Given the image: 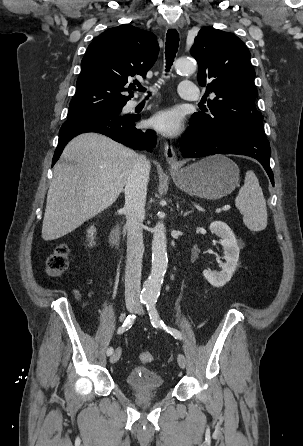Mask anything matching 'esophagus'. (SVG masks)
Returning a JSON list of instances; mask_svg holds the SVG:
<instances>
[{
  "label": "esophagus",
  "instance_id": "34e87169",
  "mask_svg": "<svg viewBox=\"0 0 303 446\" xmlns=\"http://www.w3.org/2000/svg\"><path fill=\"white\" fill-rule=\"evenodd\" d=\"M170 29H177L178 26L176 24H170L168 26ZM164 155L166 157V160L168 162L169 165H171L172 167L177 166L178 162H177V156L175 153V150L172 146V144L170 143H165L164 145Z\"/></svg>",
  "mask_w": 303,
  "mask_h": 446
}]
</instances>
